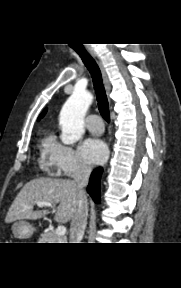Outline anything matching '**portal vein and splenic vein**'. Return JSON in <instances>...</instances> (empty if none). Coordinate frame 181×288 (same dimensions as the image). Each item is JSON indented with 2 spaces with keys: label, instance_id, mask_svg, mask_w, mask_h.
Wrapping results in <instances>:
<instances>
[{
  "label": "portal vein and splenic vein",
  "instance_id": "portal-vein-and-splenic-vein-1",
  "mask_svg": "<svg viewBox=\"0 0 181 288\" xmlns=\"http://www.w3.org/2000/svg\"><path fill=\"white\" fill-rule=\"evenodd\" d=\"M36 204H37L38 207H43V206H45V207H51V208H53V205H52V203H50V202L38 201ZM55 233H56L58 236H64L65 233H66V227L63 226V225L58 226L57 229H56V231H55Z\"/></svg>",
  "mask_w": 181,
  "mask_h": 288
}]
</instances>
